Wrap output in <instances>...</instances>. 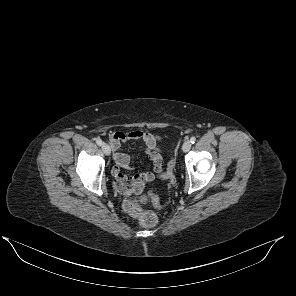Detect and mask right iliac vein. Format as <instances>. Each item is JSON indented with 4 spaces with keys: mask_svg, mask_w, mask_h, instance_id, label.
<instances>
[{
    "mask_svg": "<svg viewBox=\"0 0 296 296\" xmlns=\"http://www.w3.org/2000/svg\"><path fill=\"white\" fill-rule=\"evenodd\" d=\"M102 150L106 155H109L111 152V148L107 143L102 144Z\"/></svg>",
    "mask_w": 296,
    "mask_h": 296,
    "instance_id": "1",
    "label": "right iliac vein"
}]
</instances>
